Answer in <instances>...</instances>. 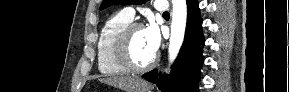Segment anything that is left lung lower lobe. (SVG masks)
<instances>
[{
    "instance_id": "0a47b994",
    "label": "left lung lower lobe",
    "mask_w": 289,
    "mask_h": 92,
    "mask_svg": "<svg viewBox=\"0 0 289 92\" xmlns=\"http://www.w3.org/2000/svg\"><path fill=\"white\" fill-rule=\"evenodd\" d=\"M204 36L197 0H187V24L183 45L172 66L171 75L160 74L157 69L142 75L156 84L162 92H198Z\"/></svg>"
}]
</instances>
